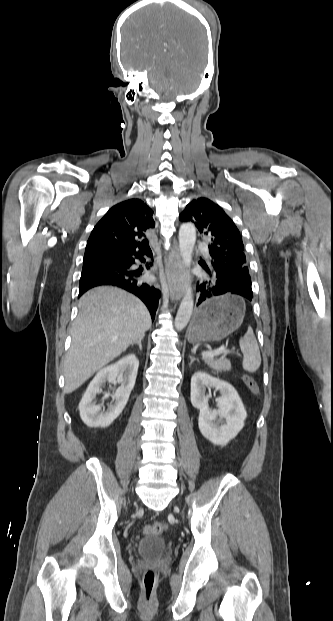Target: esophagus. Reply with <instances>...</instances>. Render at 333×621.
Wrapping results in <instances>:
<instances>
[{
  "instance_id": "esophagus-1",
  "label": "esophagus",
  "mask_w": 333,
  "mask_h": 621,
  "mask_svg": "<svg viewBox=\"0 0 333 621\" xmlns=\"http://www.w3.org/2000/svg\"><path fill=\"white\" fill-rule=\"evenodd\" d=\"M166 277L171 300H180L184 293V276L176 243L166 259Z\"/></svg>"
}]
</instances>
